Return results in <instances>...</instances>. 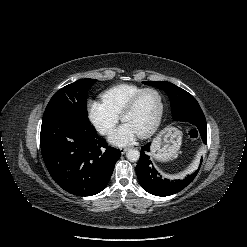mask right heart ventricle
Wrapping results in <instances>:
<instances>
[{"mask_svg":"<svg viewBox=\"0 0 247 247\" xmlns=\"http://www.w3.org/2000/svg\"><path fill=\"white\" fill-rule=\"evenodd\" d=\"M142 89L144 88L134 84H120L104 91L101 97L112 111L121 115L127 103Z\"/></svg>","mask_w":247,"mask_h":247,"instance_id":"1","label":"right heart ventricle"}]
</instances>
